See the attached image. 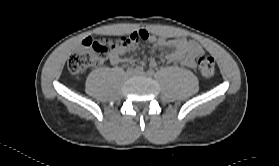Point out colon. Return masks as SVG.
<instances>
[{"label": "colon", "instance_id": "5ec220e1", "mask_svg": "<svg viewBox=\"0 0 279 166\" xmlns=\"http://www.w3.org/2000/svg\"><path fill=\"white\" fill-rule=\"evenodd\" d=\"M134 41L131 36L113 38H86L81 47L68 59V69L75 75H81L89 68L101 64L110 52L124 48ZM197 67L202 75L211 76L215 71V61L207 54H200L196 59Z\"/></svg>", "mask_w": 279, "mask_h": 166}]
</instances>
